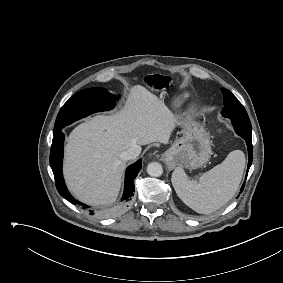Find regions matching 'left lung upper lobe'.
Listing matches in <instances>:
<instances>
[{
	"instance_id": "1",
	"label": "left lung upper lobe",
	"mask_w": 283,
	"mask_h": 283,
	"mask_svg": "<svg viewBox=\"0 0 283 283\" xmlns=\"http://www.w3.org/2000/svg\"><path fill=\"white\" fill-rule=\"evenodd\" d=\"M221 91L224 94L222 115L231 119L236 133L239 134L237 124H250L247 112L239 100L229 90L222 88ZM237 120L245 122L238 123Z\"/></svg>"
}]
</instances>
